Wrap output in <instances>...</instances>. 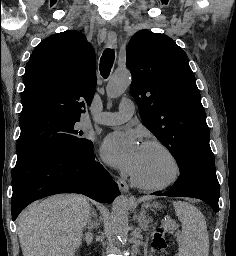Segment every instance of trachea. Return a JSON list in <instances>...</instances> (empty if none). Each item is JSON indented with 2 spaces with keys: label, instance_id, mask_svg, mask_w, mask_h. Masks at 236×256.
Instances as JSON below:
<instances>
[{
  "label": "trachea",
  "instance_id": "trachea-1",
  "mask_svg": "<svg viewBox=\"0 0 236 256\" xmlns=\"http://www.w3.org/2000/svg\"><path fill=\"white\" fill-rule=\"evenodd\" d=\"M115 58L114 50L107 48L100 59V72L103 78H107L113 66Z\"/></svg>",
  "mask_w": 236,
  "mask_h": 256
}]
</instances>
